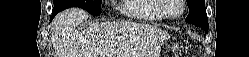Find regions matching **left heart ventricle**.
Wrapping results in <instances>:
<instances>
[{
  "instance_id": "1",
  "label": "left heart ventricle",
  "mask_w": 249,
  "mask_h": 57,
  "mask_svg": "<svg viewBox=\"0 0 249 57\" xmlns=\"http://www.w3.org/2000/svg\"><path fill=\"white\" fill-rule=\"evenodd\" d=\"M180 11V6L177 0H171L170 8L168 9V13L170 15H176Z\"/></svg>"
}]
</instances>
